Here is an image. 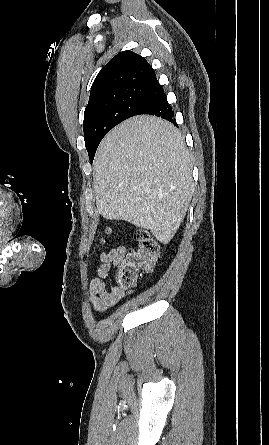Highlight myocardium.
I'll use <instances>...</instances> for the list:
<instances>
[{
    "instance_id": "1",
    "label": "myocardium",
    "mask_w": 269,
    "mask_h": 445,
    "mask_svg": "<svg viewBox=\"0 0 269 445\" xmlns=\"http://www.w3.org/2000/svg\"><path fill=\"white\" fill-rule=\"evenodd\" d=\"M9 235H10V234H8V235L4 236L3 238H1V239H0V243H1L2 241L6 240V239L9 237Z\"/></svg>"
}]
</instances>
